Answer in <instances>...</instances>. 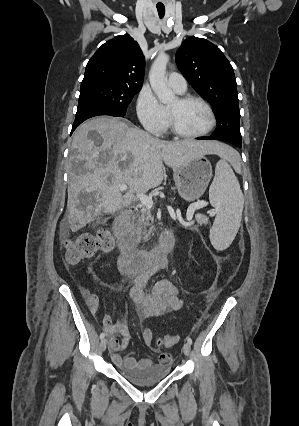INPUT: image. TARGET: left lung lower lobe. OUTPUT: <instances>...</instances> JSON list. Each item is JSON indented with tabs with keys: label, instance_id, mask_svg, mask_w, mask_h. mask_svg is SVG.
Segmentation results:
<instances>
[{
	"label": "left lung lower lobe",
	"instance_id": "1",
	"mask_svg": "<svg viewBox=\"0 0 299 426\" xmlns=\"http://www.w3.org/2000/svg\"><path fill=\"white\" fill-rule=\"evenodd\" d=\"M197 139H200V140H207V139L212 140V139H216V138H214V137L210 136V137H199V138H197ZM218 140H219V139H218ZM221 141H223V140H221ZM224 142L229 143V144H232V145L237 146V147H242V146H240V145H237V144H234V143H231V142H227V141H224Z\"/></svg>",
	"mask_w": 299,
	"mask_h": 426
}]
</instances>
